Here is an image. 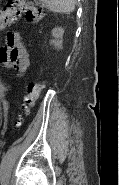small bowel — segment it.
I'll return each instance as SVG.
<instances>
[{"instance_id":"obj_1","label":"small bowel","mask_w":119,"mask_h":185,"mask_svg":"<svg viewBox=\"0 0 119 185\" xmlns=\"http://www.w3.org/2000/svg\"><path fill=\"white\" fill-rule=\"evenodd\" d=\"M6 43V46L0 50V62L6 67L25 70L29 66V58L27 51L20 43L19 34L9 32Z\"/></svg>"}]
</instances>
